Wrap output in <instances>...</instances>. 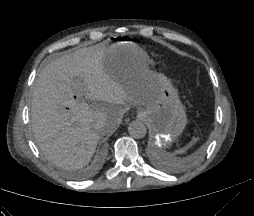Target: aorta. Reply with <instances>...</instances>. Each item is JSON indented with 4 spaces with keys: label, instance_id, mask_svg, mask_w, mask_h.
<instances>
[{
    "label": "aorta",
    "instance_id": "1",
    "mask_svg": "<svg viewBox=\"0 0 254 216\" xmlns=\"http://www.w3.org/2000/svg\"><path fill=\"white\" fill-rule=\"evenodd\" d=\"M128 133L135 139L143 138L147 133L146 126L140 121H132L128 126Z\"/></svg>",
    "mask_w": 254,
    "mask_h": 216
}]
</instances>
